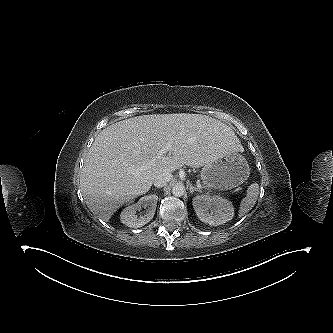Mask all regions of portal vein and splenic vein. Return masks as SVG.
<instances>
[{
    "label": "portal vein and splenic vein",
    "mask_w": 333,
    "mask_h": 333,
    "mask_svg": "<svg viewBox=\"0 0 333 333\" xmlns=\"http://www.w3.org/2000/svg\"><path fill=\"white\" fill-rule=\"evenodd\" d=\"M170 148H171V146L168 144V145H166L165 148L161 149L159 151V157L162 156V155H164V154H166L170 150ZM132 171L133 172H138V170H136V169H132ZM198 187L202 188L201 184H198Z\"/></svg>",
    "instance_id": "1"
}]
</instances>
